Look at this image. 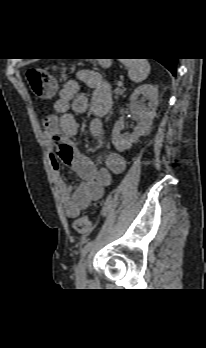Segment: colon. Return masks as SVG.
Segmentation results:
<instances>
[{
	"instance_id": "colon-1",
	"label": "colon",
	"mask_w": 206,
	"mask_h": 348,
	"mask_svg": "<svg viewBox=\"0 0 206 348\" xmlns=\"http://www.w3.org/2000/svg\"><path fill=\"white\" fill-rule=\"evenodd\" d=\"M27 80L32 94L40 99L51 97L55 93L53 76L43 67H32L27 71ZM90 216L85 214L74 222V230L81 235H88L91 231Z\"/></svg>"
}]
</instances>
